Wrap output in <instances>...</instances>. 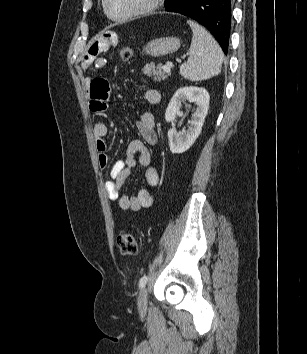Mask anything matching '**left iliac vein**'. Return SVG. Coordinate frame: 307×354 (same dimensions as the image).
<instances>
[{"instance_id": "left-iliac-vein-1", "label": "left iliac vein", "mask_w": 307, "mask_h": 354, "mask_svg": "<svg viewBox=\"0 0 307 354\" xmlns=\"http://www.w3.org/2000/svg\"><path fill=\"white\" fill-rule=\"evenodd\" d=\"M148 306V292L146 288H143L138 297V308L141 313H145Z\"/></svg>"}]
</instances>
